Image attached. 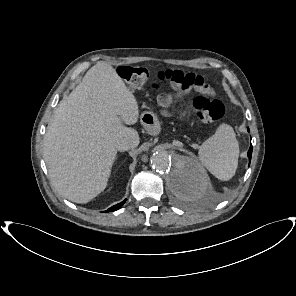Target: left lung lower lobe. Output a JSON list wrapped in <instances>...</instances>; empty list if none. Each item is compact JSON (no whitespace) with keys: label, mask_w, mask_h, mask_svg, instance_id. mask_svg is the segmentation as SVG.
Returning <instances> with one entry per match:
<instances>
[{"label":"left lung lower lobe","mask_w":296,"mask_h":296,"mask_svg":"<svg viewBox=\"0 0 296 296\" xmlns=\"http://www.w3.org/2000/svg\"><path fill=\"white\" fill-rule=\"evenodd\" d=\"M251 155H252V145L250 146V149L248 151V157H249V161H251ZM177 192H182V191H177Z\"/></svg>","instance_id":"1"}]
</instances>
